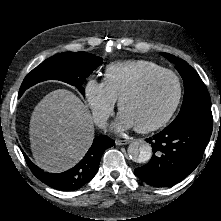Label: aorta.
Wrapping results in <instances>:
<instances>
[{
	"label": "aorta",
	"mask_w": 221,
	"mask_h": 221,
	"mask_svg": "<svg viewBox=\"0 0 221 221\" xmlns=\"http://www.w3.org/2000/svg\"><path fill=\"white\" fill-rule=\"evenodd\" d=\"M128 155L136 163H146L151 159L152 147L145 141H134L128 146Z\"/></svg>",
	"instance_id": "aorta-1"
}]
</instances>
